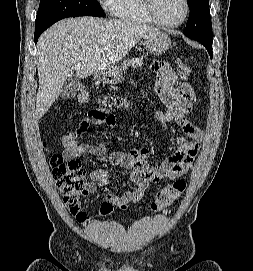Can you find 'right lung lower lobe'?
<instances>
[{
	"instance_id": "right-lung-lower-lobe-1",
	"label": "right lung lower lobe",
	"mask_w": 253,
	"mask_h": 271,
	"mask_svg": "<svg viewBox=\"0 0 253 271\" xmlns=\"http://www.w3.org/2000/svg\"><path fill=\"white\" fill-rule=\"evenodd\" d=\"M44 31V30H43ZM43 31L35 32L34 41L37 43L39 36L42 34Z\"/></svg>"
}]
</instances>
